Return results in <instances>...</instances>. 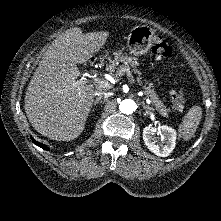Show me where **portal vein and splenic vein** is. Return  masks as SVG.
I'll return each instance as SVG.
<instances>
[{
  "label": "portal vein and splenic vein",
  "instance_id": "18ae733b",
  "mask_svg": "<svg viewBox=\"0 0 221 221\" xmlns=\"http://www.w3.org/2000/svg\"><path fill=\"white\" fill-rule=\"evenodd\" d=\"M125 72H128V70L121 69L120 70V75H123ZM94 80H95V82L98 83L100 88H108L110 86V83L105 79L95 78ZM86 81H87L86 79H81L79 82H77V84H81V83L86 82ZM129 81L133 82L132 78H129ZM146 101H147V103H150L149 99H147Z\"/></svg>",
  "mask_w": 221,
  "mask_h": 221
}]
</instances>
